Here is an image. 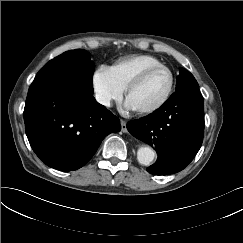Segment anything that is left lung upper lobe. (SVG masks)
I'll use <instances>...</instances> for the list:
<instances>
[{
    "mask_svg": "<svg viewBox=\"0 0 243 243\" xmlns=\"http://www.w3.org/2000/svg\"><path fill=\"white\" fill-rule=\"evenodd\" d=\"M187 87H199L194 76L187 70L181 68L180 74L177 77L176 90L187 88Z\"/></svg>",
    "mask_w": 243,
    "mask_h": 243,
    "instance_id": "5c2ea615",
    "label": "left lung upper lobe"
}]
</instances>
